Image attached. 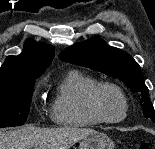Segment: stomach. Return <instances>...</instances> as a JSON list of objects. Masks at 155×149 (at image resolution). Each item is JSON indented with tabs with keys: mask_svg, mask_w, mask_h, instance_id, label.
Segmentation results:
<instances>
[{
	"mask_svg": "<svg viewBox=\"0 0 155 149\" xmlns=\"http://www.w3.org/2000/svg\"><path fill=\"white\" fill-rule=\"evenodd\" d=\"M78 149H114V143L108 135L94 132L81 139Z\"/></svg>",
	"mask_w": 155,
	"mask_h": 149,
	"instance_id": "obj_1",
	"label": "stomach"
}]
</instances>
